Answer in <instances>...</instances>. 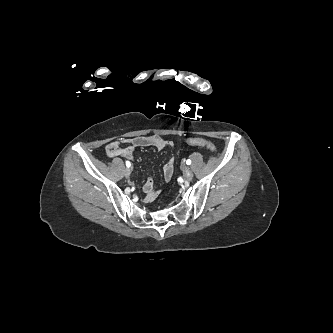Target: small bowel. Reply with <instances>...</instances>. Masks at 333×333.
I'll return each instance as SVG.
<instances>
[{"label": "small bowel", "instance_id": "1", "mask_svg": "<svg viewBox=\"0 0 333 333\" xmlns=\"http://www.w3.org/2000/svg\"><path fill=\"white\" fill-rule=\"evenodd\" d=\"M130 143L127 147H121L119 141L111 142L106 148L107 155L109 157L122 156L125 158H132L135 149L143 147H154L158 150H164L171 148L173 143L160 135L139 136L128 140ZM175 161L173 157H170L163 168V178L165 181H169L174 172ZM144 201L152 202L159 194V190L155 188L154 182L151 178H148L143 186Z\"/></svg>", "mask_w": 333, "mask_h": 333}]
</instances>
